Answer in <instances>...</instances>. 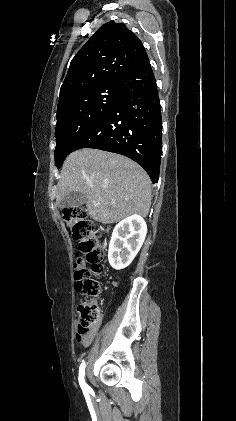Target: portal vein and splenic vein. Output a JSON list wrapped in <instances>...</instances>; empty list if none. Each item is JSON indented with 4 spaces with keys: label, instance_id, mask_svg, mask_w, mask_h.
<instances>
[{
    "label": "portal vein and splenic vein",
    "instance_id": "1",
    "mask_svg": "<svg viewBox=\"0 0 236 421\" xmlns=\"http://www.w3.org/2000/svg\"><path fill=\"white\" fill-rule=\"evenodd\" d=\"M89 186H94V184H89ZM126 200H128V198H126Z\"/></svg>",
    "mask_w": 236,
    "mask_h": 421
}]
</instances>
